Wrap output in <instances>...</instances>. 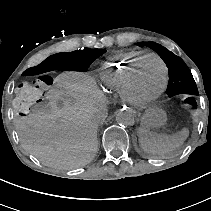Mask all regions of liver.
I'll list each match as a JSON object with an SVG mask.
<instances>
[{
    "mask_svg": "<svg viewBox=\"0 0 211 211\" xmlns=\"http://www.w3.org/2000/svg\"><path fill=\"white\" fill-rule=\"evenodd\" d=\"M49 113L39 110L19 118L16 131L24 148L45 164L74 169L91 162L98 149L97 128L105 97L89 75L77 72L56 78ZM67 97L62 108L57 100Z\"/></svg>",
    "mask_w": 211,
    "mask_h": 211,
    "instance_id": "obj_1",
    "label": "liver"
}]
</instances>
